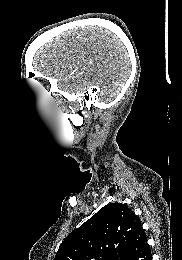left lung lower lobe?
Segmentation results:
<instances>
[{
	"mask_svg": "<svg viewBox=\"0 0 182 260\" xmlns=\"http://www.w3.org/2000/svg\"><path fill=\"white\" fill-rule=\"evenodd\" d=\"M120 260H152L151 249L142 226L133 235Z\"/></svg>",
	"mask_w": 182,
	"mask_h": 260,
	"instance_id": "1",
	"label": "left lung lower lobe"
}]
</instances>
